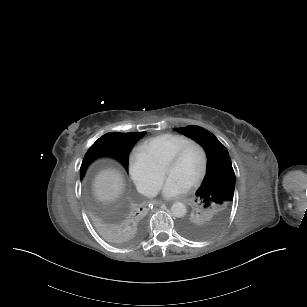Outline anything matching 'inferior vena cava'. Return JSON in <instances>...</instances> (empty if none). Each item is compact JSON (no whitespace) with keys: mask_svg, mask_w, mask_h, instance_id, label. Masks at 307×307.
I'll return each instance as SVG.
<instances>
[{"mask_svg":"<svg viewBox=\"0 0 307 307\" xmlns=\"http://www.w3.org/2000/svg\"><path fill=\"white\" fill-rule=\"evenodd\" d=\"M140 192L146 197H154L157 194L155 188L141 186Z\"/></svg>","mask_w":307,"mask_h":307,"instance_id":"obj_1","label":"inferior vena cava"}]
</instances>
